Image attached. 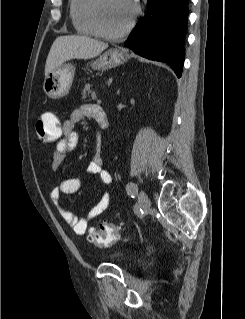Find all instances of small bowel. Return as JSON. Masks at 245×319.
<instances>
[{
    "label": "small bowel",
    "instance_id": "c3829d8e",
    "mask_svg": "<svg viewBox=\"0 0 245 319\" xmlns=\"http://www.w3.org/2000/svg\"><path fill=\"white\" fill-rule=\"evenodd\" d=\"M102 112L104 111L99 105L84 104L75 109L70 117L63 122L61 139L57 142L52 154V168L54 170L60 168L66 155L73 151L80 142V135L75 129L76 124L85 118L97 121L98 116ZM88 171L90 174L97 176L104 185H110L112 183V176L104 169L103 161L100 156H97L94 159L93 163L89 166ZM81 185L82 181L80 178H67L62 180L50 192V199L57 212L77 235L84 234L88 228L89 222L101 215L111 203L110 194L104 193L86 216L78 218L61 203L60 197L63 194H74L78 192Z\"/></svg>",
    "mask_w": 245,
    "mask_h": 319
}]
</instances>
